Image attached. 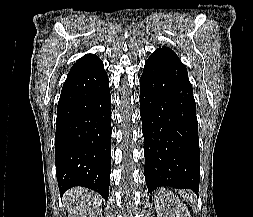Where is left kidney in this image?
Returning <instances> with one entry per match:
<instances>
[{"mask_svg": "<svg viewBox=\"0 0 253 217\" xmlns=\"http://www.w3.org/2000/svg\"><path fill=\"white\" fill-rule=\"evenodd\" d=\"M160 217H191L188 208L171 191L160 189L155 195Z\"/></svg>", "mask_w": 253, "mask_h": 217, "instance_id": "obj_1", "label": "left kidney"}]
</instances>
